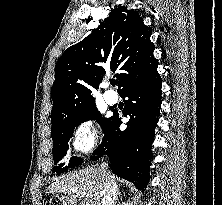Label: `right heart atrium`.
Here are the masks:
<instances>
[{
    "instance_id": "obj_1",
    "label": "right heart atrium",
    "mask_w": 222,
    "mask_h": 205,
    "mask_svg": "<svg viewBox=\"0 0 222 205\" xmlns=\"http://www.w3.org/2000/svg\"><path fill=\"white\" fill-rule=\"evenodd\" d=\"M100 132L90 120L82 121L74 130L72 145L79 151H90L100 141Z\"/></svg>"
}]
</instances>
